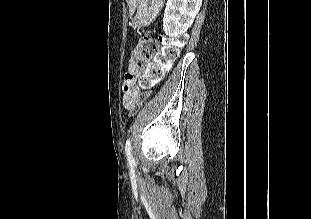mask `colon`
<instances>
[{"mask_svg":"<svg viewBox=\"0 0 311 219\" xmlns=\"http://www.w3.org/2000/svg\"><path fill=\"white\" fill-rule=\"evenodd\" d=\"M185 36L165 38L164 47L161 52H157V43L151 37H142L132 54L129 63L131 73H138L148 60H152L148 66L145 76L141 79L142 86H149L158 82L166 68L176 59L185 44Z\"/></svg>","mask_w":311,"mask_h":219,"instance_id":"obj_1","label":"colon"}]
</instances>
